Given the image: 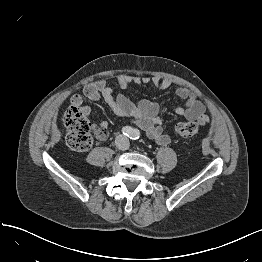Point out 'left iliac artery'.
Here are the masks:
<instances>
[{"mask_svg":"<svg viewBox=\"0 0 262 262\" xmlns=\"http://www.w3.org/2000/svg\"><path fill=\"white\" fill-rule=\"evenodd\" d=\"M139 137H140L139 130L138 129H133L132 134H131V139L137 140V139H139Z\"/></svg>","mask_w":262,"mask_h":262,"instance_id":"44dca946","label":"left iliac artery"}]
</instances>
